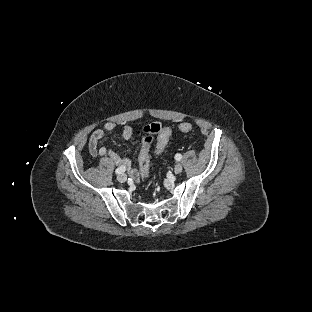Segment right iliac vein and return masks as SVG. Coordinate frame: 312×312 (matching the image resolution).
<instances>
[{
    "instance_id": "1",
    "label": "right iliac vein",
    "mask_w": 312,
    "mask_h": 312,
    "mask_svg": "<svg viewBox=\"0 0 312 312\" xmlns=\"http://www.w3.org/2000/svg\"><path fill=\"white\" fill-rule=\"evenodd\" d=\"M117 180L121 183L125 182L127 180L126 174L122 173V174L118 175Z\"/></svg>"
}]
</instances>
